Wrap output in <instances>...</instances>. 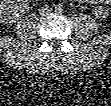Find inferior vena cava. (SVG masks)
<instances>
[{"mask_svg":"<svg viewBox=\"0 0 111 106\" xmlns=\"http://www.w3.org/2000/svg\"><path fill=\"white\" fill-rule=\"evenodd\" d=\"M52 11V8L48 5H44L39 9L40 14L44 15Z\"/></svg>","mask_w":111,"mask_h":106,"instance_id":"inferior-vena-cava-1","label":"inferior vena cava"}]
</instances>
